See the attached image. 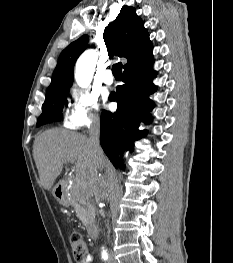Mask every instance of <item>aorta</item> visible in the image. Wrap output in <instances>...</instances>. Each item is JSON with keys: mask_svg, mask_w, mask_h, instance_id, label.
Segmentation results:
<instances>
[{"mask_svg": "<svg viewBox=\"0 0 233 263\" xmlns=\"http://www.w3.org/2000/svg\"><path fill=\"white\" fill-rule=\"evenodd\" d=\"M96 64V54L93 50L84 52L75 67V80L80 87H87L93 78Z\"/></svg>", "mask_w": 233, "mask_h": 263, "instance_id": "762f6f07", "label": "aorta"}]
</instances>
